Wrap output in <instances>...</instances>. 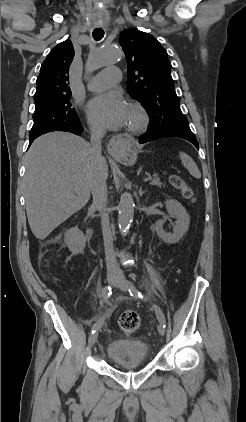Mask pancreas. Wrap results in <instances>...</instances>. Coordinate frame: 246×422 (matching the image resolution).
I'll return each instance as SVG.
<instances>
[{"instance_id":"1","label":"pancreas","mask_w":246,"mask_h":422,"mask_svg":"<svg viewBox=\"0 0 246 422\" xmlns=\"http://www.w3.org/2000/svg\"><path fill=\"white\" fill-rule=\"evenodd\" d=\"M152 185H157V186H161L162 183L160 182V179L157 175L153 176V180L151 181Z\"/></svg>"}]
</instances>
